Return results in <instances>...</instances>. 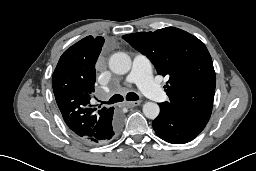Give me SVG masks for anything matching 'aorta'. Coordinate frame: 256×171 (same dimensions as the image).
I'll use <instances>...</instances> for the list:
<instances>
[{
	"instance_id": "762f6f07",
	"label": "aorta",
	"mask_w": 256,
	"mask_h": 171,
	"mask_svg": "<svg viewBox=\"0 0 256 171\" xmlns=\"http://www.w3.org/2000/svg\"><path fill=\"white\" fill-rule=\"evenodd\" d=\"M131 58L129 55L123 52H117L113 54L109 59V67L112 72L124 75L131 69ZM160 112L158 104L153 102H146L143 105V113L149 119H155Z\"/></svg>"
}]
</instances>
